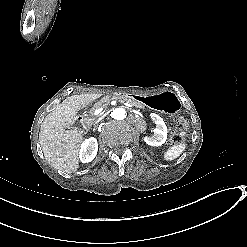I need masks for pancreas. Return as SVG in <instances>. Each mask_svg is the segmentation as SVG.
<instances>
[{
  "label": "pancreas",
  "mask_w": 247,
  "mask_h": 247,
  "mask_svg": "<svg viewBox=\"0 0 247 247\" xmlns=\"http://www.w3.org/2000/svg\"><path fill=\"white\" fill-rule=\"evenodd\" d=\"M114 97L124 98V99H126V101L132 102V99L127 97V96L119 95V94H111V95L107 96L104 100H101L99 103H96V106H93L91 109H89L88 112H89L90 116L92 118H95L93 116L94 110L96 108H98L100 105H102L103 103H106L107 101H109L110 98H114ZM133 103H136V105L141 106V102H136V100H133ZM142 107H144V110H147L146 104H142Z\"/></svg>",
  "instance_id": "pancreas-1"
}]
</instances>
